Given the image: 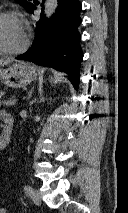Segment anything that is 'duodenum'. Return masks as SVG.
I'll use <instances>...</instances> for the list:
<instances>
[{"instance_id": "410a0bca", "label": "duodenum", "mask_w": 128, "mask_h": 213, "mask_svg": "<svg viewBox=\"0 0 128 213\" xmlns=\"http://www.w3.org/2000/svg\"><path fill=\"white\" fill-rule=\"evenodd\" d=\"M14 120L10 115L4 117V128L0 134V149H5L11 142Z\"/></svg>"}]
</instances>
